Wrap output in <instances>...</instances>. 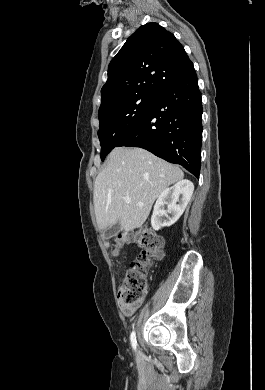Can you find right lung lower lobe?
Returning <instances> with one entry per match:
<instances>
[{
	"instance_id": "right-lung-lower-lobe-1",
	"label": "right lung lower lobe",
	"mask_w": 265,
	"mask_h": 390,
	"mask_svg": "<svg viewBox=\"0 0 265 390\" xmlns=\"http://www.w3.org/2000/svg\"><path fill=\"white\" fill-rule=\"evenodd\" d=\"M202 100L193 63L160 88L146 114L116 147L144 148L199 178Z\"/></svg>"
}]
</instances>
